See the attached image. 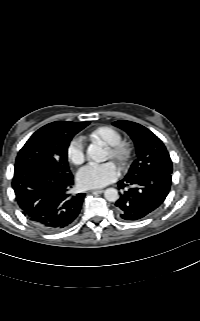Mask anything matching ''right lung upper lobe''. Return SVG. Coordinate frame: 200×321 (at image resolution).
Masks as SVG:
<instances>
[{
	"instance_id": "1",
	"label": "right lung upper lobe",
	"mask_w": 200,
	"mask_h": 321,
	"mask_svg": "<svg viewBox=\"0 0 200 321\" xmlns=\"http://www.w3.org/2000/svg\"><path fill=\"white\" fill-rule=\"evenodd\" d=\"M82 123L84 122L56 121V122L50 123L49 125L56 131H60V130L66 131L74 124H82Z\"/></svg>"
}]
</instances>
